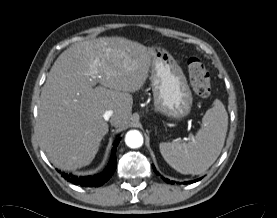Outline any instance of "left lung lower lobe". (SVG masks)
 Segmentation results:
<instances>
[{
    "label": "left lung lower lobe",
    "instance_id": "1",
    "mask_svg": "<svg viewBox=\"0 0 277 218\" xmlns=\"http://www.w3.org/2000/svg\"><path fill=\"white\" fill-rule=\"evenodd\" d=\"M153 169H154L155 173L159 175V173L156 171V169H155L154 166H153ZM200 179H201V178H200ZM200 179H197V180H194V181L184 182V184H187V183L191 184V183H194V182H196V181H199ZM166 182H167V183L174 184V181H170L169 179H166Z\"/></svg>",
    "mask_w": 277,
    "mask_h": 218
}]
</instances>
